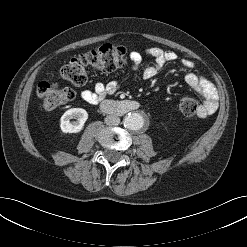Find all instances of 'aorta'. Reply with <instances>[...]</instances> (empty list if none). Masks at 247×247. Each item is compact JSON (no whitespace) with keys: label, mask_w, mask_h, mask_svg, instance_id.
<instances>
[{"label":"aorta","mask_w":247,"mask_h":247,"mask_svg":"<svg viewBox=\"0 0 247 247\" xmlns=\"http://www.w3.org/2000/svg\"><path fill=\"white\" fill-rule=\"evenodd\" d=\"M123 123L130 130H140L144 126V117L140 113H129L125 116Z\"/></svg>","instance_id":"762f6f07"}]
</instances>
